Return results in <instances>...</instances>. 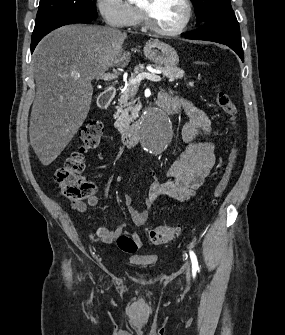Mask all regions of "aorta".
<instances>
[{
	"label": "aorta",
	"instance_id": "obj_1",
	"mask_svg": "<svg viewBox=\"0 0 285 335\" xmlns=\"http://www.w3.org/2000/svg\"><path fill=\"white\" fill-rule=\"evenodd\" d=\"M142 125L136 127V134L143 137L141 147H152L149 156H160L161 147H172L175 137V120L167 119V112H158V105H147Z\"/></svg>",
	"mask_w": 285,
	"mask_h": 335
}]
</instances>
